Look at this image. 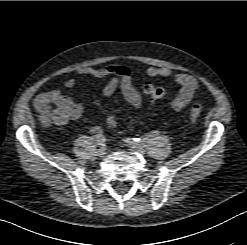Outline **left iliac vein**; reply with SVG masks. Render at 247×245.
I'll return each mask as SVG.
<instances>
[{"label":"left iliac vein","instance_id":"1","mask_svg":"<svg viewBox=\"0 0 247 245\" xmlns=\"http://www.w3.org/2000/svg\"><path fill=\"white\" fill-rule=\"evenodd\" d=\"M129 148L132 152L134 153H139L141 155H144L146 150H145V147L142 146V145H137V144H130L129 145Z\"/></svg>","mask_w":247,"mask_h":245}]
</instances>
